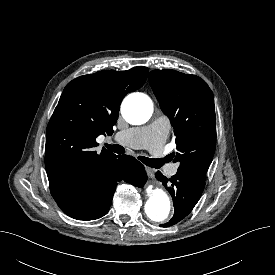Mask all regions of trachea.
I'll list each match as a JSON object with an SVG mask.
<instances>
[{"label": "trachea", "instance_id": "trachea-1", "mask_svg": "<svg viewBox=\"0 0 275 275\" xmlns=\"http://www.w3.org/2000/svg\"><path fill=\"white\" fill-rule=\"evenodd\" d=\"M109 150H111L112 152L118 153V154H124L125 153V149L124 147H122L121 145L118 144H114V145H109L106 144L105 145ZM138 159L144 163L145 165L149 166V167H153V168H159L161 167L164 163L168 162V158H162V159H150L148 157H144V156H139Z\"/></svg>", "mask_w": 275, "mask_h": 275}]
</instances>
